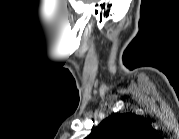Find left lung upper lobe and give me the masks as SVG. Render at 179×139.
<instances>
[{
  "label": "left lung upper lobe",
  "instance_id": "left-lung-upper-lobe-1",
  "mask_svg": "<svg viewBox=\"0 0 179 139\" xmlns=\"http://www.w3.org/2000/svg\"><path fill=\"white\" fill-rule=\"evenodd\" d=\"M151 130V126L138 115L114 114L94 128L88 139H141Z\"/></svg>",
  "mask_w": 179,
  "mask_h": 139
}]
</instances>
